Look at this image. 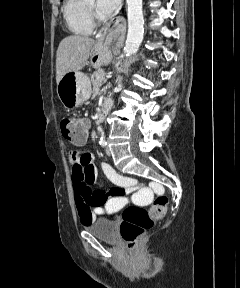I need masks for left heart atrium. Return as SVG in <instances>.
<instances>
[{
	"label": "left heart atrium",
	"instance_id": "obj_1",
	"mask_svg": "<svg viewBox=\"0 0 240 288\" xmlns=\"http://www.w3.org/2000/svg\"><path fill=\"white\" fill-rule=\"evenodd\" d=\"M121 0H97V10L102 17L112 15L119 7Z\"/></svg>",
	"mask_w": 240,
	"mask_h": 288
}]
</instances>
